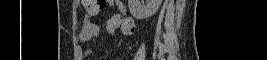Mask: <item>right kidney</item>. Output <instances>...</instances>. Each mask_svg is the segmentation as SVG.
<instances>
[{"instance_id":"right-kidney-1","label":"right kidney","mask_w":267,"mask_h":60,"mask_svg":"<svg viewBox=\"0 0 267 60\" xmlns=\"http://www.w3.org/2000/svg\"><path fill=\"white\" fill-rule=\"evenodd\" d=\"M143 2V0H141ZM140 0H128L130 13L138 20L151 17L159 9L162 0H146V5H142Z\"/></svg>"}]
</instances>
